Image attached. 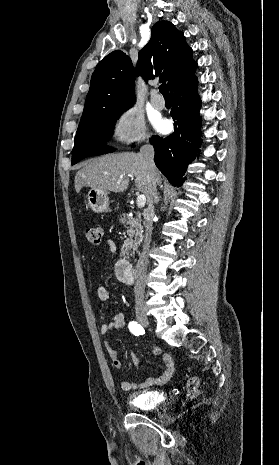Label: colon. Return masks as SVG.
<instances>
[{"label": "colon", "mask_w": 279, "mask_h": 465, "mask_svg": "<svg viewBox=\"0 0 279 465\" xmlns=\"http://www.w3.org/2000/svg\"><path fill=\"white\" fill-rule=\"evenodd\" d=\"M102 229L99 227H90L87 228L85 231V236L87 241L94 247H97L101 244L102 241ZM199 379L195 376L190 377L187 380V395L190 398H194L197 396L199 391Z\"/></svg>", "instance_id": "colon-1"}]
</instances>
